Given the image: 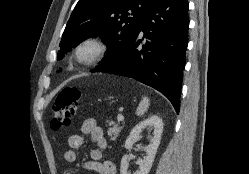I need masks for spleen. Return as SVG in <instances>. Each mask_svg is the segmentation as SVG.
<instances>
[{
    "label": "spleen",
    "instance_id": "3e777b00",
    "mask_svg": "<svg viewBox=\"0 0 249 174\" xmlns=\"http://www.w3.org/2000/svg\"><path fill=\"white\" fill-rule=\"evenodd\" d=\"M149 105V99L147 97H144L137 107L136 114L138 116L144 115V113L148 110Z\"/></svg>",
    "mask_w": 249,
    "mask_h": 174
}]
</instances>
